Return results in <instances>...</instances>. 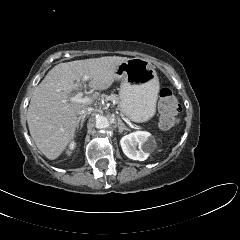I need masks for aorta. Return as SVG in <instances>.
Masks as SVG:
<instances>
[{"mask_svg":"<svg viewBox=\"0 0 240 240\" xmlns=\"http://www.w3.org/2000/svg\"><path fill=\"white\" fill-rule=\"evenodd\" d=\"M109 126V121L104 116H96V127L98 129L107 128Z\"/></svg>","mask_w":240,"mask_h":240,"instance_id":"1","label":"aorta"}]
</instances>
